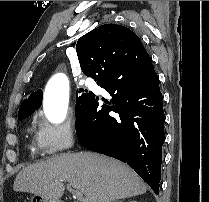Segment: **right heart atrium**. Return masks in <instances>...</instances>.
<instances>
[{"instance_id":"d8ad5b80","label":"right heart atrium","mask_w":209,"mask_h":202,"mask_svg":"<svg viewBox=\"0 0 209 202\" xmlns=\"http://www.w3.org/2000/svg\"><path fill=\"white\" fill-rule=\"evenodd\" d=\"M76 129L71 121L53 124L42 118L35 134L37 147L46 154H58L72 147Z\"/></svg>"}]
</instances>
